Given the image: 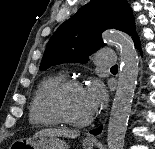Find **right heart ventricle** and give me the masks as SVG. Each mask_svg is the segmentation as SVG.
<instances>
[{"mask_svg": "<svg viewBox=\"0 0 155 149\" xmlns=\"http://www.w3.org/2000/svg\"><path fill=\"white\" fill-rule=\"evenodd\" d=\"M63 73H55L42 79L38 84L29 107V121L42 127H54L61 123L50 105V93L53 88L65 80Z\"/></svg>", "mask_w": 155, "mask_h": 149, "instance_id": "1", "label": "right heart ventricle"}]
</instances>
